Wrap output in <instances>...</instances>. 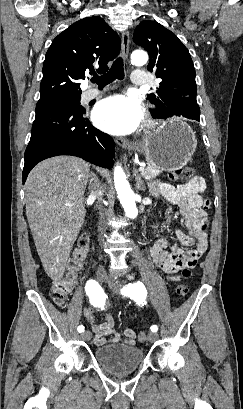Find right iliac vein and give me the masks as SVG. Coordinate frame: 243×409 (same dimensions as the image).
Returning <instances> with one entry per match:
<instances>
[{
    "label": "right iliac vein",
    "mask_w": 243,
    "mask_h": 409,
    "mask_svg": "<svg viewBox=\"0 0 243 409\" xmlns=\"http://www.w3.org/2000/svg\"><path fill=\"white\" fill-rule=\"evenodd\" d=\"M96 279L101 283L105 282L107 280V274L104 271H98L96 274ZM91 336L92 335L90 331H85L82 333L81 338L84 341H89L91 339Z\"/></svg>",
    "instance_id": "obj_1"
}]
</instances>
